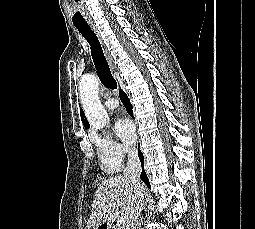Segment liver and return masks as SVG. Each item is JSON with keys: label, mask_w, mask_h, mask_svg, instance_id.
I'll return each mask as SVG.
<instances>
[{"label": "liver", "mask_w": 255, "mask_h": 229, "mask_svg": "<svg viewBox=\"0 0 255 229\" xmlns=\"http://www.w3.org/2000/svg\"><path fill=\"white\" fill-rule=\"evenodd\" d=\"M145 193V187L141 184ZM134 195L132 183L122 175L104 179L96 190L87 228L101 226L119 211L127 221Z\"/></svg>", "instance_id": "liver-1"}]
</instances>
